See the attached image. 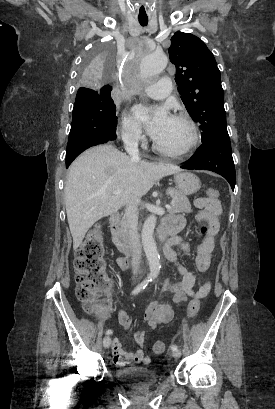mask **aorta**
<instances>
[{
	"mask_svg": "<svg viewBox=\"0 0 275 409\" xmlns=\"http://www.w3.org/2000/svg\"><path fill=\"white\" fill-rule=\"evenodd\" d=\"M167 62L168 58L163 51H144L141 64L142 76L145 78V76L159 74L161 70H164ZM156 221L155 215H150L142 227V245L150 269L147 279H156L161 269L159 253L153 239Z\"/></svg>",
	"mask_w": 275,
	"mask_h": 409,
	"instance_id": "1",
	"label": "aorta"
}]
</instances>
